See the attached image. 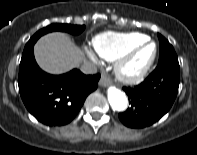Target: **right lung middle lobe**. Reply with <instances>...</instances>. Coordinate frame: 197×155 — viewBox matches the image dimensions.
<instances>
[{
    "instance_id": "obj_1",
    "label": "right lung middle lobe",
    "mask_w": 197,
    "mask_h": 155,
    "mask_svg": "<svg viewBox=\"0 0 197 155\" xmlns=\"http://www.w3.org/2000/svg\"><path fill=\"white\" fill-rule=\"evenodd\" d=\"M85 29L84 25H70V24H51L38 32H36L30 40L27 42L24 50L28 49L30 46L34 45L35 42L44 34L53 32V31H63V32H68L73 35H78L80 34L83 30Z\"/></svg>"
}]
</instances>
